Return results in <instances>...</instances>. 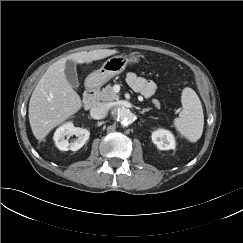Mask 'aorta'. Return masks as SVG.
<instances>
[{
  "label": "aorta",
  "mask_w": 243,
  "mask_h": 243,
  "mask_svg": "<svg viewBox=\"0 0 243 243\" xmlns=\"http://www.w3.org/2000/svg\"><path fill=\"white\" fill-rule=\"evenodd\" d=\"M113 113L122 125H129L133 121V114L127 108L117 107L114 109Z\"/></svg>",
  "instance_id": "762f6f07"
}]
</instances>
